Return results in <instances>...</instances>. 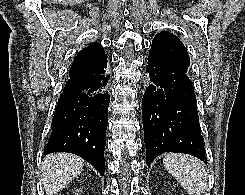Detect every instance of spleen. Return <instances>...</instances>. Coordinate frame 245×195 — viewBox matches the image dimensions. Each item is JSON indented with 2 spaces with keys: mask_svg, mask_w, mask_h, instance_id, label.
Segmentation results:
<instances>
[{
  "mask_svg": "<svg viewBox=\"0 0 245 195\" xmlns=\"http://www.w3.org/2000/svg\"><path fill=\"white\" fill-rule=\"evenodd\" d=\"M163 163L189 195H202L205 192L207 172L200 160L187 154H167Z\"/></svg>",
  "mask_w": 245,
  "mask_h": 195,
  "instance_id": "obj_1",
  "label": "spleen"
}]
</instances>
